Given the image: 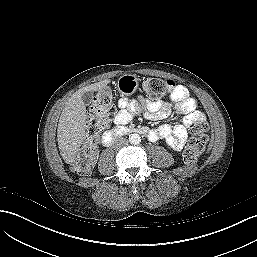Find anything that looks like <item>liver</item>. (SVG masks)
I'll list each match as a JSON object with an SVG mask.
<instances>
[{"instance_id":"6515ba94","label":"liver","mask_w":257,"mask_h":257,"mask_svg":"<svg viewBox=\"0 0 257 257\" xmlns=\"http://www.w3.org/2000/svg\"><path fill=\"white\" fill-rule=\"evenodd\" d=\"M110 83V79L91 84L76 91L63 108L58 128L57 141L60 154L67 164L75 161L85 138L86 107L82 99L85 92L99 91Z\"/></svg>"}]
</instances>
